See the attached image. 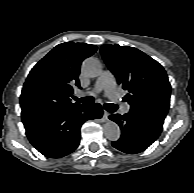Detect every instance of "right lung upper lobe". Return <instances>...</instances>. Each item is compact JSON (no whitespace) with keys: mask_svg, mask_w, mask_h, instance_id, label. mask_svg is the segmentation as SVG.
I'll return each instance as SVG.
<instances>
[{"mask_svg":"<svg viewBox=\"0 0 194 193\" xmlns=\"http://www.w3.org/2000/svg\"><path fill=\"white\" fill-rule=\"evenodd\" d=\"M97 47L85 43L65 42L57 45L29 73L20 96L22 121L53 115L79 105L71 98L82 61Z\"/></svg>","mask_w":194,"mask_h":193,"instance_id":"cb5924a9","label":"right lung upper lobe"}]
</instances>
